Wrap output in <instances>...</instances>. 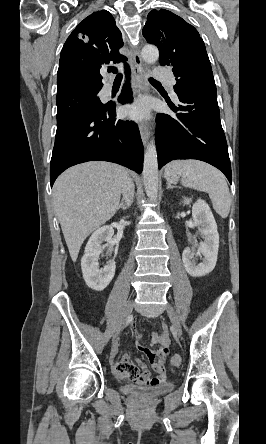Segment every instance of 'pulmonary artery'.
Instances as JSON below:
<instances>
[{
	"label": "pulmonary artery",
	"instance_id": "pulmonary-artery-1",
	"mask_svg": "<svg viewBox=\"0 0 266 444\" xmlns=\"http://www.w3.org/2000/svg\"><path fill=\"white\" fill-rule=\"evenodd\" d=\"M153 75L159 80H162L165 82V84L168 86L170 92L174 97H176L174 86L176 84V80L173 76H171L169 73L165 71V68L163 66H156L153 70Z\"/></svg>",
	"mask_w": 266,
	"mask_h": 444
}]
</instances>
